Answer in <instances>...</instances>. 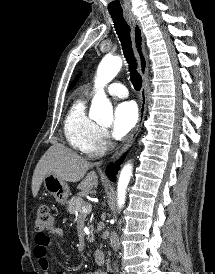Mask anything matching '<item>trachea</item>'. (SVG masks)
<instances>
[{"instance_id": "1", "label": "trachea", "mask_w": 215, "mask_h": 274, "mask_svg": "<svg viewBox=\"0 0 215 274\" xmlns=\"http://www.w3.org/2000/svg\"><path fill=\"white\" fill-rule=\"evenodd\" d=\"M114 22V28L120 39L124 56L129 64L130 80L135 90H140L142 86L141 75L137 72V63L132 49L130 27L125 21L122 13H110Z\"/></svg>"}]
</instances>
